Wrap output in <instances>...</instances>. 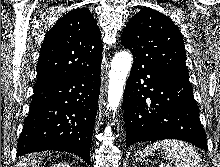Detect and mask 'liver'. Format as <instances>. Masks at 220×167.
Instances as JSON below:
<instances>
[{
    "mask_svg": "<svg viewBox=\"0 0 220 167\" xmlns=\"http://www.w3.org/2000/svg\"><path fill=\"white\" fill-rule=\"evenodd\" d=\"M42 158V154H29L19 160L17 167H39Z\"/></svg>",
    "mask_w": 220,
    "mask_h": 167,
    "instance_id": "liver-1",
    "label": "liver"
}]
</instances>
